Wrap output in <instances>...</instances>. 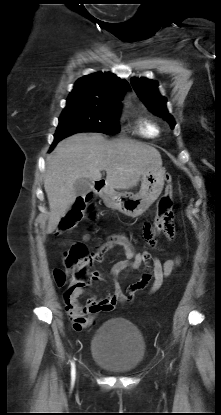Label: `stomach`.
Wrapping results in <instances>:
<instances>
[{
  "instance_id": "obj_1",
  "label": "stomach",
  "mask_w": 221,
  "mask_h": 415,
  "mask_svg": "<svg viewBox=\"0 0 221 415\" xmlns=\"http://www.w3.org/2000/svg\"><path fill=\"white\" fill-rule=\"evenodd\" d=\"M165 180V170L154 167L143 173L138 193H118L110 189L102 192L106 206L129 217L142 215L160 196Z\"/></svg>"
}]
</instances>
